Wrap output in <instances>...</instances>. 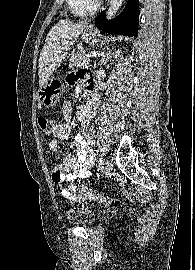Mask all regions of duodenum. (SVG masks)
Returning a JSON list of instances; mask_svg holds the SVG:
<instances>
[{"label": "duodenum", "instance_id": "410a0bca", "mask_svg": "<svg viewBox=\"0 0 195 270\" xmlns=\"http://www.w3.org/2000/svg\"><path fill=\"white\" fill-rule=\"evenodd\" d=\"M92 89H93V84H90L86 92V102H90L92 99V96H93Z\"/></svg>", "mask_w": 195, "mask_h": 270}]
</instances>
